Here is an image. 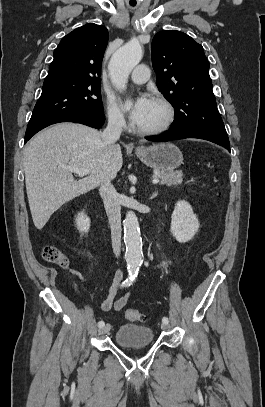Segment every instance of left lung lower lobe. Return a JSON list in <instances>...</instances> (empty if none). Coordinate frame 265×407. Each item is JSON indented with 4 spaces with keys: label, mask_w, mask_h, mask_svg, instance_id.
Masks as SVG:
<instances>
[{
    "label": "left lung lower lobe",
    "mask_w": 265,
    "mask_h": 407,
    "mask_svg": "<svg viewBox=\"0 0 265 407\" xmlns=\"http://www.w3.org/2000/svg\"><path fill=\"white\" fill-rule=\"evenodd\" d=\"M184 138H199V139H204L211 141L213 143H216L220 146H223L227 149L230 148V143L229 141H223L220 139H217L215 137L209 136L207 134H203L200 132L196 131H189V130H183V131H169L165 134L158 135V136H149L146 139L150 141H157V142H165V141H170V140H177V139H184Z\"/></svg>",
    "instance_id": "left-lung-lower-lobe-1"
}]
</instances>
